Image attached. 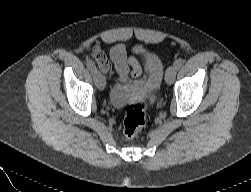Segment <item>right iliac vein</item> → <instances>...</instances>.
<instances>
[{
	"mask_svg": "<svg viewBox=\"0 0 251 192\" xmlns=\"http://www.w3.org/2000/svg\"><path fill=\"white\" fill-rule=\"evenodd\" d=\"M95 85L99 90H103L106 85L105 77L100 73V71L96 70L93 74Z\"/></svg>",
	"mask_w": 251,
	"mask_h": 192,
	"instance_id": "1",
	"label": "right iliac vein"
}]
</instances>
